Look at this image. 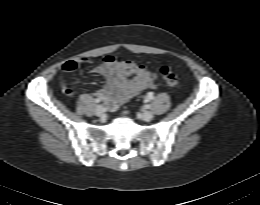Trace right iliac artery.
Masks as SVG:
<instances>
[{"mask_svg":"<svg viewBox=\"0 0 260 205\" xmlns=\"http://www.w3.org/2000/svg\"><path fill=\"white\" fill-rule=\"evenodd\" d=\"M102 100L100 98L95 99L96 103H100Z\"/></svg>","mask_w":260,"mask_h":205,"instance_id":"1","label":"right iliac artery"}]
</instances>
